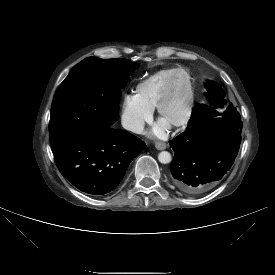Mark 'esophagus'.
Returning a JSON list of instances; mask_svg holds the SVG:
<instances>
[{"label": "esophagus", "instance_id": "1", "mask_svg": "<svg viewBox=\"0 0 275 275\" xmlns=\"http://www.w3.org/2000/svg\"><path fill=\"white\" fill-rule=\"evenodd\" d=\"M155 147L158 150H164L167 147V145L163 142H156Z\"/></svg>", "mask_w": 275, "mask_h": 275}]
</instances>
